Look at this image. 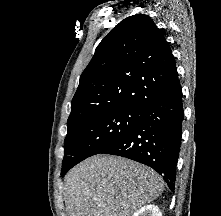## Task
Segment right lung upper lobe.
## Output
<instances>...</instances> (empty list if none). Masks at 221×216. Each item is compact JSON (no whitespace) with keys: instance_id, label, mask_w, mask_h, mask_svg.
I'll return each mask as SVG.
<instances>
[{"instance_id":"right-lung-upper-lobe-1","label":"right lung upper lobe","mask_w":221,"mask_h":216,"mask_svg":"<svg viewBox=\"0 0 221 216\" xmlns=\"http://www.w3.org/2000/svg\"><path fill=\"white\" fill-rule=\"evenodd\" d=\"M177 77L169 43L153 20L130 16L96 48L80 77L67 126L113 109L141 108Z\"/></svg>"}]
</instances>
